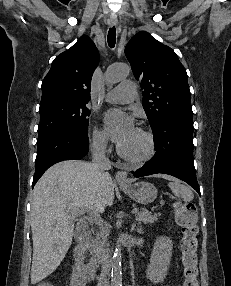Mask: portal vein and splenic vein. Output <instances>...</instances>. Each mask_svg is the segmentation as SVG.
Returning <instances> with one entry per match:
<instances>
[{
  "label": "portal vein and splenic vein",
  "mask_w": 231,
  "mask_h": 286,
  "mask_svg": "<svg viewBox=\"0 0 231 286\" xmlns=\"http://www.w3.org/2000/svg\"><path fill=\"white\" fill-rule=\"evenodd\" d=\"M138 211L139 210L137 208H134L132 210V213L136 214V213H138ZM83 213H85V211H83V210H80V209L74 210V214L80 215V214H83ZM92 219H93V221H95L98 224L103 223V221L99 218V216H93Z\"/></svg>",
  "instance_id": "18ae733b"
}]
</instances>
